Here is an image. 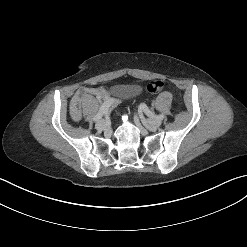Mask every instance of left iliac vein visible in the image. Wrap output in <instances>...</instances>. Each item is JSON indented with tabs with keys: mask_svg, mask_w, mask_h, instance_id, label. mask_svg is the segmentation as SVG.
Masks as SVG:
<instances>
[{
	"mask_svg": "<svg viewBox=\"0 0 247 247\" xmlns=\"http://www.w3.org/2000/svg\"><path fill=\"white\" fill-rule=\"evenodd\" d=\"M139 117L145 122L147 123L151 128H157L161 125L162 121L160 119H148V120H145L142 113H138Z\"/></svg>",
	"mask_w": 247,
	"mask_h": 247,
	"instance_id": "obj_1",
	"label": "left iliac vein"
}]
</instances>
